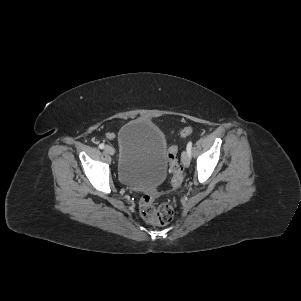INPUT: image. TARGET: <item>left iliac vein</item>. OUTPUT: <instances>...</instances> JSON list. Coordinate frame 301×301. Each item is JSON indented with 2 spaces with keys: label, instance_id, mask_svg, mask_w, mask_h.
Returning <instances> with one entry per match:
<instances>
[{
  "label": "left iliac vein",
  "instance_id": "1",
  "mask_svg": "<svg viewBox=\"0 0 301 301\" xmlns=\"http://www.w3.org/2000/svg\"><path fill=\"white\" fill-rule=\"evenodd\" d=\"M182 163L185 167H189L190 165V156L187 150L182 152L181 156Z\"/></svg>",
  "mask_w": 301,
  "mask_h": 301
}]
</instances>
